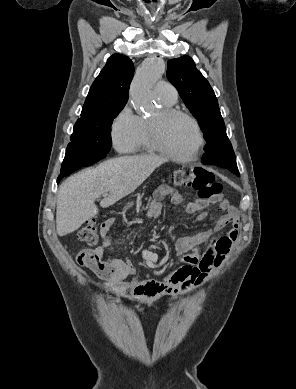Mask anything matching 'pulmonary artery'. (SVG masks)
<instances>
[{
  "label": "pulmonary artery",
  "mask_w": 296,
  "mask_h": 389,
  "mask_svg": "<svg viewBox=\"0 0 296 389\" xmlns=\"http://www.w3.org/2000/svg\"><path fill=\"white\" fill-rule=\"evenodd\" d=\"M155 92L157 95L165 100L168 101H176L177 100V90L176 88L169 82L167 81H159L157 82L155 86Z\"/></svg>",
  "instance_id": "pulmonary-artery-1"
}]
</instances>
